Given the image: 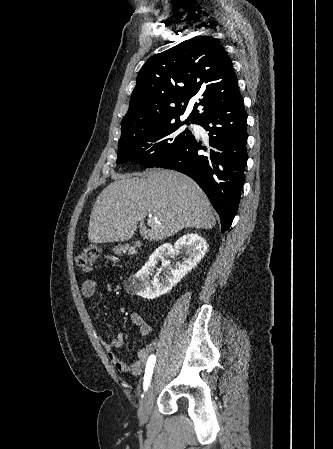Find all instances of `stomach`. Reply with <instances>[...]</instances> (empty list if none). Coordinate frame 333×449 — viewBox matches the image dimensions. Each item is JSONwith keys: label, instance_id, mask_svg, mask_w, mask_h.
Listing matches in <instances>:
<instances>
[{"label": "stomach", "instance_id": "obj_1", "mask_svg": "<svg viewBox=\"0 0 333 449\" xmlns=\"http://www.w3.org/2000/svg\"><path fill=\"white\" fill-rule=\"evenodd\" d=\"M114 250H115L116 252L120 251V249H118V248H115Z\"/></svg>", "mask_w": 333, "mask_h": 449}]
</instances>
